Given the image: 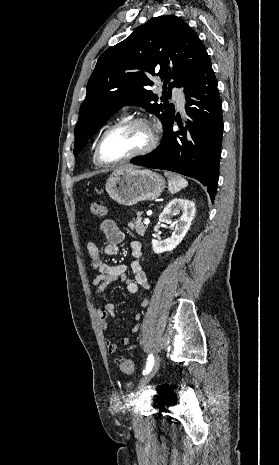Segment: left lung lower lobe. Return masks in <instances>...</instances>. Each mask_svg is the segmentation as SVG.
Listing matches in <instances>:
<instances>
[{
  "label": "left lung lower lobe",
  "mask_w": 279,
  "mask_h": 465,
  "mask_svg": "<svg viewBox=\"0 0 279 465\" xmlns=\"http://www.w3.org/2000/svg\"><path fill=\"white\" fill-rule=\"evenodd\" d=\"M184 91L186 112L191 118L186 127L174 118L157 149L132 159L131 163L197 179L207 187L213 201L217 191L223 121L222 103L207 52ZM175 121L180 127L177 132L172 131Z\"/></svg>",
  "instance_id": "obj_1"
}]
</instances>
